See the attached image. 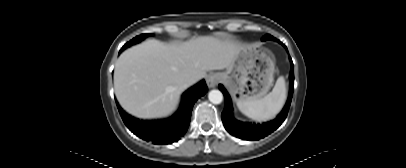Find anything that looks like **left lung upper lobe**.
I'll list each match as a JSON object with an SVG mask.
<instances>
[{
	"instance_id": "left-lung-upper-lobe-1",
	"label": "left lung upper lobe",
	"mask_w": 406,
	"mask_h": 168,
	"mask_svg": "<svg viewBox=\"0 0 406 168\" xmlns=\"http://www.w3.org/2000/svg\"><path fill=\"white\" fill-rule=\"evenodd\" d=\"M262 40H263V41H265V40H275V41H278V42H279V40H277L276 38H274V37L271 36V35H266V36H264Z\"/></svg>"
}]
</instances>
